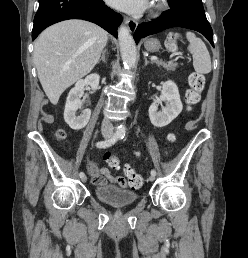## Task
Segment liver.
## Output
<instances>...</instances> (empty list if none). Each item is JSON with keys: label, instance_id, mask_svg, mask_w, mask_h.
I'll use <instances>...</instances> for the list:
<instances>
[{"label": "liver", "instance_id": "1", "mask_svg": "<svg viewBox=\"0 0 248 258\" xmlns=\"http://www.w3.org/2000/svg\"><path fill=\"white\" fill-rule=\"evenodd\" d=\"M101 27L66 20L45 29L34 44V63L44 92L53 105L61 94L91 72L106 45Z\"/></svg>", "mask_w": 248, "mask_h": 258}]
</instances>
